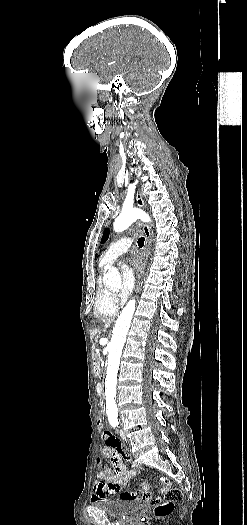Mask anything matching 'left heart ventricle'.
Listing matches in <instances>:
<instances>
[{
    "label": "left heart ventricle",
    "instance_id": "left-heart-ventricle-1",
    "mask_svg": "<svg viewBox=\"0 0 247 525\" xmlns=\"http://www.w3.org/2000/svg\"><path fill=\"white\" fill-rule=\"evenodd\" d=\"M118 266L121 272L128 269L129 267L128 255L125 254L124 256L121 257V259L119 260ZM142 324H147V323H142Z\"/></svg>",
    "mask_w": 247,
    "mask_h": 525
}]
</instances>
